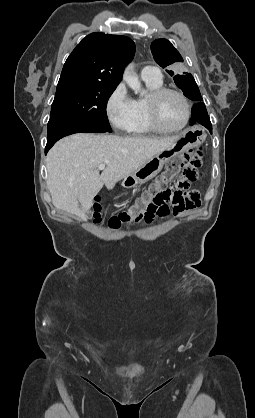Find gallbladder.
I'll use <instances>...</instances> for the list:
<instances>
[{
  "mask_svg": "<svg viewBox=\"0 0 255 418\" xmlns=\"http://www.w3.org/2000/svg\"><path fill=\"white\" fill-rule=\"evenodd\" d=\"M86 214H87V215H90V212H89V211H87V212H86Z\"/></svg>",
  "mask_w": 255,
  "mask_h": 418,
  "instance_id": "bac80fb5",
  "label": "gallbladder"
}]
</instances>
